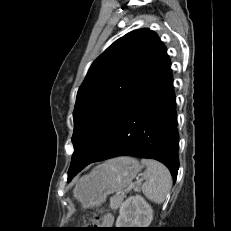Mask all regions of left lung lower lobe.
Returning <instances> with one entry per match:
<instances>
[{
	"mask_svg": "<svg viewBox=\"0 0 231 231\" xmlns=\"http://www.w3.org/2000/svg\"><path fill=\"white\" fill-rule=\"evenodd\" d=\"M178 142L171 63L164 48L85 166L123 155L151 158L162 162L175 180ZM82 169L68 174V182Z\"/></svg>",
	"mask_w": 231,
	"mask_h": 231,
	"instance_id": "1",
	"label": "left lung lower lobe"
}]
</instances>
